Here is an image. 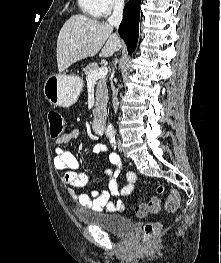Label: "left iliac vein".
I'll list each match as a JSON object with an SVG mask.
<instances>
[{
  "instance_id": "4c4485c4",
  "label": "left iliac vein",
  "mask_w": 221,
  "mask_h": 263,
  "mask_svg": "<svg viewBox=\"0 0 221 263\" xmlns=\"http://www.w3.org/2000/svg\"><path fill=\"white\" fill-rule=\"evenodd\" d=\"M118 149H119V151H122V145H121L120 141H118Z\"/></svg>"
}]
</instances>
